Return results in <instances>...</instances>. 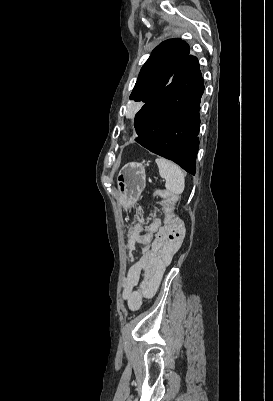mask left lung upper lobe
<instances>
[{"label": "left lung upper lobe", "instance_id": "1", "mask_svg": "<svg viewBox=\"0 0 273 401\" xmlns=\"http://www.w3.org/2000/svg\"><path fill=\"white\" fill-rule=\"evenodd\" d=\"M189 53L188 44L181 39H169L159 44L143 65L130 100L146 103L157 96Z\"/></svg>", "mask_w": 273, "mask_h": 401}]
</instances>
